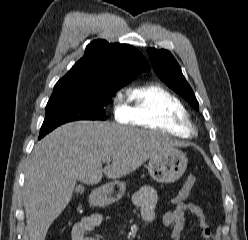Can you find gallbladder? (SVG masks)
Listing matches in <instances>:
<instances>
[{
  "mask_svg": "<svg viewBox=\"0 0 248 240\" xmlns=\"http://www.w3.org/2000/svg\"><path fill=\"white\" fill-rule=\"evenodd\" d=\"M84 190H85V188H84L83 186H78V187H76V189H75L76 193H83Z\"/></svg>",
  "mask_w": 248,
  "mask_h": 240,
  "instance_id": "1",
  "label": "gallbladder"
}]
</instances>
